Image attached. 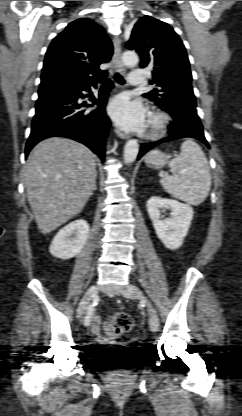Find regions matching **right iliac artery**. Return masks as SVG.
Instances as JSON below:
<instances>
[{
  "instance_id": "obj_1",
  "label": "right iliac artery",
  "mask_w": 242,
  "mask_h": 416,
  "mask_svg": "<svg viewBox=\"0 0 242 416\" xmlns=\"http://www.w3.org/2000/svg\"><path fill=\"white\" fill-rule=\"evenodd\" d=\"M92 313H93V308L90 306V307L88 308V311H87L86 317H85V319H84V325H85V326H88V325L90 324V318H91Z\"/></svg>"
}]
</instances>
